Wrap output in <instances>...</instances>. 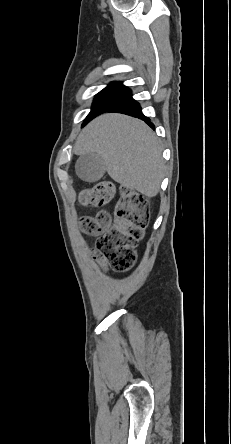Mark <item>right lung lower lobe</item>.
Returning <instances> with one entry per match:
<instances>
[{
  "instance_id": "right-lung-lower-lobe-1",
  "label": "right lung lower lobe",
  "mask_w": 231,
  "mask_h": 444,
  "mask_svg": "<svg viewBox=\"0 0 231 444\" xmlns=\"http://www.w3.org/2000/svg\"><path fill=\"white\" fill-rule=\"evenodd\" d=\"M104 112H119L133 117H137L144 120L148 125L154 128V125L150 123L148 118L142 114L139 103L132 98L131 94H128L118 103L108 108Z\"/></svg>"
}]
</instances>
